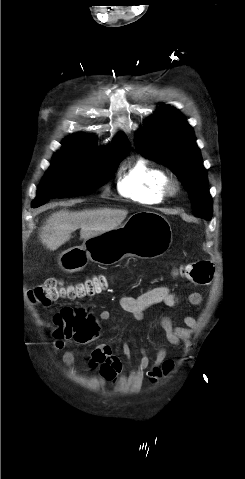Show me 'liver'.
<instances>
[{"label": "liver", "mask_w": 245, "mask_h": 479, "mask_svg": "<svg viewBox=\"0 0 245 479\" xmlns=\"http://www.w3.org/2000/svg\"><path fill=\"white\" fill-rule=\"evenodd\" d=\"M127 210L99 208L72 212L60 210L53 213L40 229L42 243L54 251L71 238L72 232L80 229L84 241L116 229L126 218Z\"/></svg>", "instance_id": "obj_1"}]
</instances>
